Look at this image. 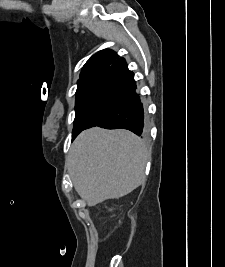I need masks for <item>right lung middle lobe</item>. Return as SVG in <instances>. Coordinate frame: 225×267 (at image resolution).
Masks as SVG:
<instances>
[{
    "mask_svg": "<svg viewBox=\"0 0 225 267\" xmlns=\"http://www.w3.org/2000/svg\"><path fill=\"white\" fill-rule=\"evenodd\" d=\"M96 81V79H87V80H83V81H79L78 82V87H77V91H76V105H75V112H76V116L77 113L82 105V102L89 90V88L91 87V85ZM75 116V118H76ZM75 121V120H74Z\"/></svg>",
    "mask_w": 225,
    "mask_h": 267,
    "instance_id": "dd1d6c3e",
    "label": "right lung middle lobe"
}]
</instances>
